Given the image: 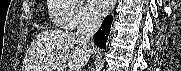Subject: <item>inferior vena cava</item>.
Wrapping results in <instances>:
<instances>
[{"instance_id":"1","label":"inferior vena cava","mask_w":181,"mask_h":71,"mask_svg":"<svg viewBox=\"0 0 181 71\" xmlns=\"http://www.w3.org/2000/svg\"><path fill=\"white\" fill-rule=\"evenodd\" d=\"M100 25L101 20L98 17L92 14H85L77 27V41L89 54L92 53L90 39L100 28Z\"/></svg>"}]
</instances>
